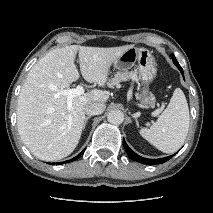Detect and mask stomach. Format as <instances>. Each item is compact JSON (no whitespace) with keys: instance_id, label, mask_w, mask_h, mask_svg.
Masks as SVG:
<instances>
[{"instance_id":"obj_1","label":"stomach","mask_w":213,"mask_h":213,"mask_svg":"<svg viewBox=\"0 0 213 213\" xmlns=\"http://www.w3.org/2000/svg\"><path fill=\"white\" fill-rule=\"evenodd\" d=\"M113 64L119 70H128L133 66L137 67L139 78L145 86L139 99L143 105L152 107L154 98L148 95L147 87L156 77L157 69L151 52L146 48L132 47L124 52Z\"/></svg>"}]
</instances>
